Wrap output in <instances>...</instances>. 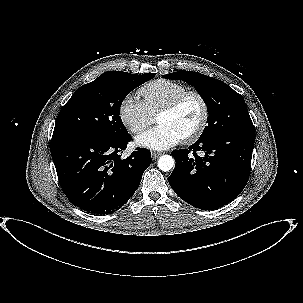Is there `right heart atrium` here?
I'll list each match as a JSON object with an SVG mask.
<instances>
[{
  "instance_id": "d8ad5b80",
  "label": "right heart atrium",
  "mask_w": 303,
  "mask_h": 303,
  "mask_svg": "<svg viewBox=\"0 0 303 303\" xmlns=\"http://www.w3.org/2000/svg\"><path fill=\"white\" fill-rule=\"evenodd\" d=\"M118 112L123 125L133 134L141 133L153 121L144 102L132 94L122 99Z\"/></svg>"
}]
</instances>
